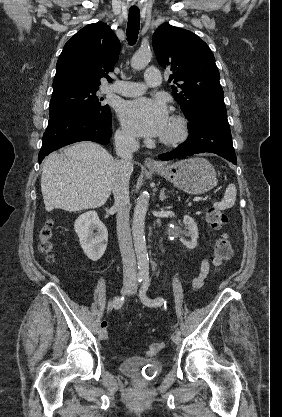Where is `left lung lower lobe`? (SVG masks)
Returning <instances> with one entry per match:
<instances>
[{
  "mask_svg": "<svg viewBox=\"0 0 282 417\" xmlns=\"http://www.w3.org/2000/svg\"><path fill=\"white\" fill-rule=\"evenodd\" d=\"M189 121L188 140L176 150L159 155L161 160L209 152L236 164L225 104H206L197 107L193 110V116Z\"/></svg>",
  "mask_w": 282,
  "mask_h": 417,
  "instance_id": "1",
  "label": "left lung lower lobe"
}]
</instances>
